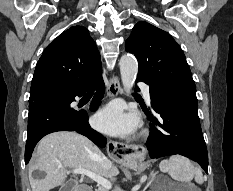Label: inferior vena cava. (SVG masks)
Here are the masks:
<instances>
[{
  "mask_svg": "<svg viewBox=\"0 0 233 191\" xmlns=\"http://www.w3.org/2000/svg\"><path fill=\"white\" fill-rule=\"evenodd\" d=\"M99 163L101 167L105 170H109L112 167V162L108 160V158L105 156H102V158L99 160ZM115 191H121V190L119 187H117Z\"/></svg>",
  "mask_w": 233,
  "mask_h": 191,
  "instance_id": "obj_1",
  "label": "inferior vena cava"
}]
</instances>
